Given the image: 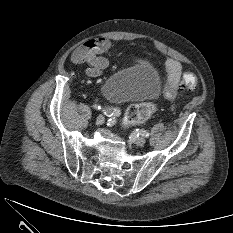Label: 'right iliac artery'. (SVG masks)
<instances>
[{
	"mask_svg": "<svg viewBox=\"0 0 233 233\" xmlns=\"http://www.w3.org/2000/svg\"><path fill=\"white\" fill-rule=\"evenodd\" d=\"M94 108L98 110H102L107 116L112 117V118L118 117L121 114L120 110L115 107H106V106L103 107L99 104H95Z\"/></svg>",
	"mask_w": 233,
	"mask_h": 233,
	"instance_id": "82829eb1",
	"label": "right iliac artery"
}]
</instances>
